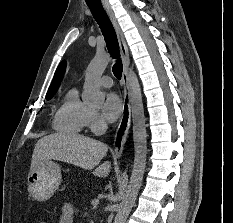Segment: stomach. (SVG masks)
I'll use <instances>...</instances> for the list:
<instances>
[{
	"instance_id": "obj_1",
	"label": "stomach",
	"mask_w": 233,
	"mask_h": 223,
	"mask_svg": "<svg viewBox=\"0 0 233 223\" xmlns=\"http://www.w3.org/2000/svg\"><path fill=\"white\" fill-rule=\"evenodd\" d=\"M62 181L61 165L52 159H39L31 167L27 177L30 197L36 201L50 199Z\"/></svg>"
}]
</instances>
